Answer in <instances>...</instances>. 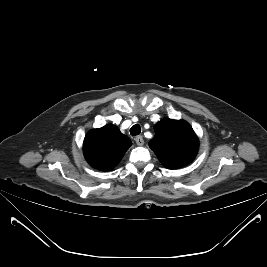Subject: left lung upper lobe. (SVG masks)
<instances>
[{
  "instance_id": "1",
  "label": "left lung upper lobe",
  "mask_w": 267,
  "mask_h": 267,
  "mask_svg": "<svg viewBox=\"0 0 267 267\" xmlns=\"http://www.w3.org/2000/svg\"><path fill=\"white\" fill-rule=\"evenodd\" d=\"M155 137L149 142L162 165L181 168L193 161L198 151V138L189 123L163 119L155 126Z\"/></svg>"
}]
</instances>
